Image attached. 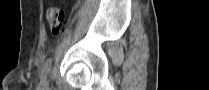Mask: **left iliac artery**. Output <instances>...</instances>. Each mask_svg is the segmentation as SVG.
<instances>
[{
  "label": "left iliac artery",
  "mask_w": 209,
  "mask_h": 90,
  "mask_svg": "<svg viewBox=\"0 0 209 90\" xmlns=\"http://www.w3.org/2000/svg\"><path fill=\"white\" fill-rule=\"evenodd\" d=\"M51 64H52V58H48L46 60V62L44 63L43 69H42V73H41V79H46L50 68H51Z\"/></svg>",
  "instance_id": "44dca946"
}]
</instances>
